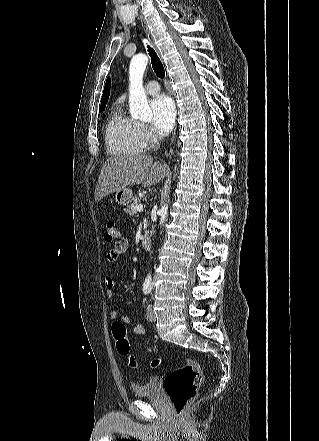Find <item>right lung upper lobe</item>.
I'll list each match as a JSON object with an SVG mask.
<instances>
[{
    "label": "right lung upper lobe",
    "instance_id": "right-lung-upper-lobe-1",
    "mask_svg": "<svg viewBox=\"0 0 319 441\" xmlns=\"http://www.w3.org/2000/svg\"><path fill=\"white\" fill-rule=\"evenodd\" d=\"M109 93H110V78L107 79L105 87H104V92L102 95V100H101V107L102 106H106L108 98H109Z\"/></svg>",
    "mask_w": 319,
    "mask_h": 441
}]
</instances>
